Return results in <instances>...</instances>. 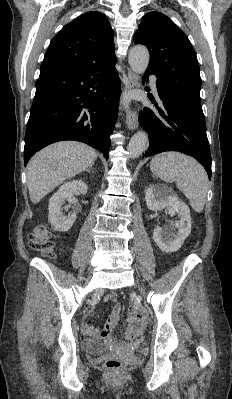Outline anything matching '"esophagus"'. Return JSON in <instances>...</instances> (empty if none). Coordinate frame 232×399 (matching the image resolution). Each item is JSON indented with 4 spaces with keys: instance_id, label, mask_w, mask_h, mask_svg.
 I'll use <instances>...</instances> for the list:
<instances>
[{
    "instance_id": "esophagus-1",
    "label": "esophagus",
    "mask_w": 232,
    "mask_h": 399,
    "mask_svg": "<svg viewBox=\"0 0 232 399\" xmlns=\"http://www.w3.org/2000/svg\"><path fill=\"white\" fill-rule=\"evenodd\" d=\"M138 85V78L135 73L132 71H128V82L126 84V88H134L135 86ZM126 124L127 127L131 130L136 129L138 126V113L136 108H130L128 107L126 110Z\"/></svg>"
}]
</instances>
